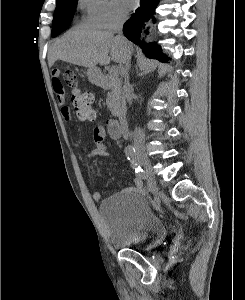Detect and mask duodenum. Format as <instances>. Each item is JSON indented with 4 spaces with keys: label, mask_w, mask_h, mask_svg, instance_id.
Returning <instances> with one entry per match:
<instances>
[{
    "label": "duodenum",
    "mask_w": 245,
    "mask_h": 300,
    "mask_svg": "<svg viewBox=\"0 0 245 300\" xmlns=\"http://www.w3.org/2000/svg\"><path fill=\"white\" fill-rule=\"evenodd\" d=\"M96 80L101 85L105 84L104 78L101 75H99V74H96ZM117 121L119 123L120 129H121L123 135L126 136L127 133H128V119H127L126 114L123 113V112H119L117 114Z\"/></svg>",
    "instance_id": "obj_1"
}]
</instances>
